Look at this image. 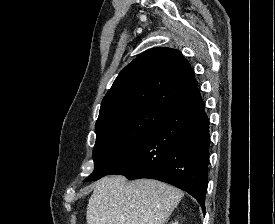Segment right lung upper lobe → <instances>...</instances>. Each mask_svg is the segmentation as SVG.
Here are the masks:
<instances>
[{
	"instance_id": "obj_1",
	"label": "right lung upper lobe",
	"mask_w": 275,
	"mask_h": 224,
	"mask_svg": "<svg viewBox=\"0 0 275 224\" xmlns=\"http://www.w3.org/2000/svg\"><path fill=\"white\" fill-rule=\"evenodd\" d=\"M195 88L194 72L178 50L149 49L119 73L102 100L96 126L143 107L167 110Z\"/></svg>"
}]
</instances>
